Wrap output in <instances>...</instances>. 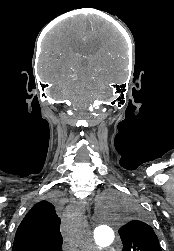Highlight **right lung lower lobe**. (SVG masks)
I'll return each mask as SVG.
<instances>
[{
    "instance_id": "98d812e1",
    "label": "right lung lower lobe",
    "mask_w": 174,
    "mask_h": 251,
    "mask_svg": "<svg viewBox=\"0 0 174 251\" xmlns=\"http://www.w3.org/2000/svg\"><path fill=\"white\" fill-rule=\"evenodd\" d=\"M16 251H27V249H17Z\"/></svg>"
}]
</instances>
